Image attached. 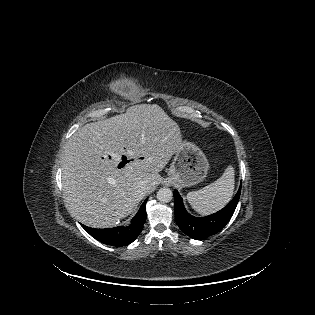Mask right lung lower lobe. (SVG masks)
<instances>
[{
  "mask_svg": "<svg viewBox=\"0 0 315 315\" xmlns=\"http://www.w3.org/2000/svg\"><path fill=\"white\" fill-rule=\"evenodd\" d=\"M146 202L141 205L138 213L131 220L128 227H115L109 229H94L82 225V227L98 241L112 246H124L132 243L141 233L146 221Z\"/></svg>",
  "mask_w": 315,
  "mask_h": 315,
  "instance_id": "1",
  "label": "right lung lower lobe"
}]
</instances>
